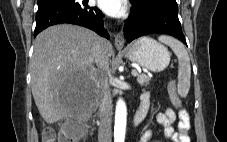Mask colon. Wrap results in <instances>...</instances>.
I'll return each mask as SVG.
<instances>
[{
    "label": "colon",
    "mask_w": 227,
    "mask_h": 142,
    "mask_svg": "<svg viewBox=\"0 0 227 142\" xmlns=\"http://www.w3.org/2000/svg\"><path fill=\"white\" fill-rule=\"evenodd\" d=\"M169 93L173 104L180 107L181 103L176 93V85L174 82L169 85ZM81 134V127L79 125H69L58 133L53 128H45L42 133V142H78Z\"/></svg>",
    "instance_id": "obj_1"
}]
</instances>
